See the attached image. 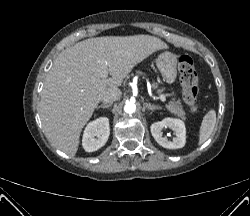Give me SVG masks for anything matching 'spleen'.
<instances>
[{"label": "spleen", "mask_w": 250, "mask_h": 216, "mask_svg": "<svg viewBox=\"0 0 250 216\" xmlns=\"http://www.w3.org/2000/svg\"><path fill=\"white\" fill-rule=\"evenodd\" d=\"M216 124V111L210 109L201 122L198 145H202L212 134Z\"/></svg>", "instance_id": "spleen-1"}]
</instances>
